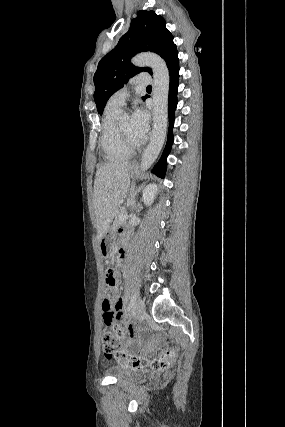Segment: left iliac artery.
<instances>
[{
	"mask_svg": "<svg viewBox=\"0 0 285 427\" xmlns=\"http://www.w3.org/2000/svg\"><path fill=\"white\" fill-rule=\"evenodd\" d=\"M136 298H137L136 294H133L131 297L130 303L128 305V308H127L128 312L134 308L135 303H136Z\"/></svg>",
	"mask_w": 285,
	"mask_h": 427,
	"instance_id": "1",
	"label": "left iliac artery"
}]
</instances>
